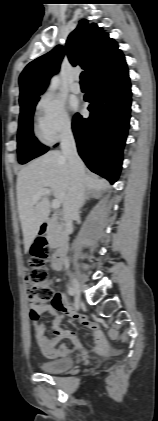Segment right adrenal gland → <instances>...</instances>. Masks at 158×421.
I'll return each instance as SVG.
<instances>
[{"label": "right adrenal gland", "instance_id": "2a0ac1e0", "mask_svg": "<svg viewBox=\"0 0 158 421\" xmlns=\"http://www.w3.org/2000/svg\"><path fill=\"white\" fill-rule=\"evenodd\" d=\"M99 196V194H96L95 192H87L86 193V195H85V198H84V200H83V202H82V204H81V207H83L84 205H85V203H86V201L90 198V197H98Z\"/></svg>", "mask_w": 158, "mask_h": 421}]
</instances>
